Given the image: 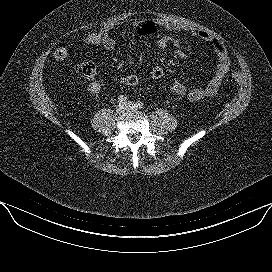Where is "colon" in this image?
<instances>
[{
    "label": "colon",
    "instance_id": "1",
    "mask_svg": "<svg viewBox=\"0 0 272 272\" xmlns=\"http://www.w3.org/2000/svg\"><path fill=\"white\" fill-rule=\"evenodd\" d=\"M156 25L152 21H147L140 25L139 33L142 35L151 34L155 31ZM116 46V41L111 34L102 30L88 32L80 36L73 46H59L53 52V57L56 60H64L68 58L74 50L87 49L92 47H104L113 49ZM76 74L85 79L90 80L96 74V67L91 62L79 63L75 68ZM166 75V71L162 66H155L140 74H131L123 77L120 84L123 87H136L143 84H148L157 80H161ZM234 81L240 80V74L233 72L231 75Z\"/></svg>",
    "mask_w": 272,
    "mask_h": 272
}]
</instances>
